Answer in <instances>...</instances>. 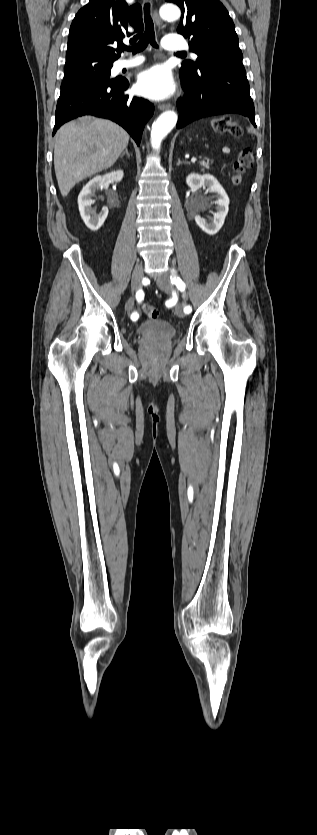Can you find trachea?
<instances>
[{"label":"trachea","instance_id":"trachea-1","mask_svg":"<svg viewBox=\"0 0 317 835\" xmlns=\"http://www.w3.org/2000/svg\"><path fill=\"white\" fill-rule=\"evenodd\" d=\"M144 10H145V13H146L144 34L141 36L139 42L136 43L135 45H133L132 47L124 46L125 50L131 51L133 54H136L138 52L143 51L148 46L149 43L153 47L158 48V45L155 41L154 24H153V21H152L150 15H149L150 3H146L144 5ZM177 54L183 55L184 53L180 52V53H177Z\"/></svg>","mask_w":317,"mask_h":835}]
</instances>
